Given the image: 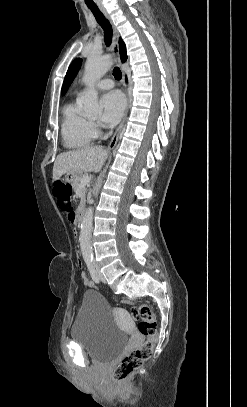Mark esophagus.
<instances>
[{
    "instance_id": "1",
    "label": "esophagus",
    "mask_w": 247,
    "mask_h": 407,
    "mask_svg": "<svg viewBox=\"0 0 247 407\" xmlns=\"http://www.w3.org/2000/svg\"><path fill=\"white\" fill-rule=\"evenodd\" d=\"M102 13L104 14V16L107 18V20L110 22L111 26H112V30H113V36H112V50H113V55H114V61L118 66H121V59H120V54H119V33L117 31L116 26L113 24L110 15L106 12V10L104 8H101ZM125 87V92H126V96H127V103H126V107H125V111L123 114V118L122 121L120 123V125L118 126V128L116 129L113 137L111 138V141L108 144V149H112L115 147V145L117 144L118 141V137L119 134L125 124L126 118H127V114H128V110H129V105L131 102V97H130V93L128 90V87L126 84H124Z\"/></svg>"
}]
</instances>
